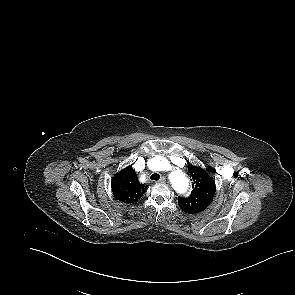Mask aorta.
Listing matches in <instances>:
<instances>
[{"mask_svg":"<svg viewBox=\"0 0 295 295\" xmlns=\"http://www.w3.org/2000/svg\"><path fill=\"white\" fill-rule=\"evenodd\" d=\"M171 183L173 187L178 192H183L188 187V179L186 178L185 174L181 171H175L170 176Z\"/></svg>","mask_w":295,"mask_h":295,"instance_id":"aorta-1","label":"aorta"}]
</instances>
